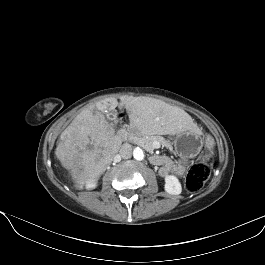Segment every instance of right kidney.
I'll use <instances>...</instances> for the list:
<instances>
[{
  "instance_id": "obj_1",
  "label": "right kidney",
  "mask_w": 265,
  "mask_h": 265,
  "mask_svg": "<svg viewBox=\"0 0 265 265\" xmlns=\"http://www.w3.org/2000/svg\"><path fill=\"white\" fill-rule=\"evenodd\" d=\"M96 185H97L96 181H91V182L86 183V187L88 189H93L96 187Z\"/></svg>"
}]
</instances>
